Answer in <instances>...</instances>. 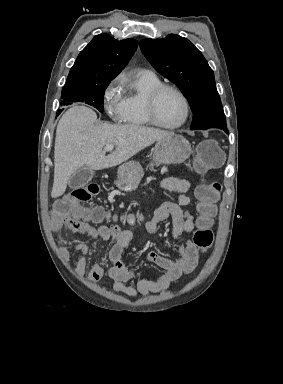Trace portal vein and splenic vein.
I'll list each match as a JSON object with an SVG mask.
<instances>
[{"mask_svg":"<svg viewBox=\"0 0 283 384\" xmlns=\"http://www.w3.org/2000/svg\"><path fill=\"white\" fill-rule=\"evenodd\" d=\"M114 150V144H106L104 152H112Z\"/></svg>","mask_w":283,"mask_h":384,"instance_id":"portal-vein-and-splenic-vein-1","label":"portal vein and splenic vein"}]
</instances>
